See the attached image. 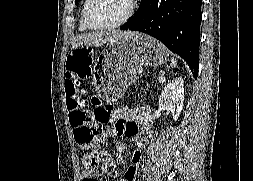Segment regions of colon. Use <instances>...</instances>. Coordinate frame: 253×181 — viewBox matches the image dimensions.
Wrapping results in <instances>:
<instances>
[{
	"label": "colon",
	"instance_id": "obj_1",
	"mask_svg": "<svg viewBox=\"0 0 253 181\" xmlns=\"http://www.w3.org/2000/svg\"><path fill=\"white\" fill-rule=\"evenodd\" d=\"M80 53H92V48H75L67 59L66 96L69 110V121L78 146L94 147L104 138L103 125L110 120V107H91L85 98L86 89L76 84L79 72ZM109 154L99 148L89 151L84 157L86 169L93 173H101L109 163Z\"/></svg>",
	"mask_w": 253,
	"mask_h": 181
}]
</instances>
